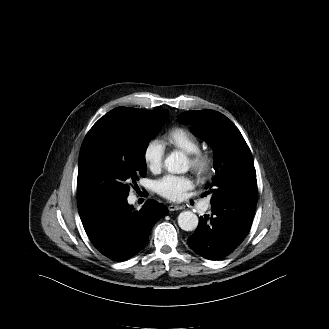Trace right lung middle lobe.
<instances>
[{
	"mask_svg": "<svg viewBox=\"0 0 329 329\" xmlns=\"http://www.w3.org/2000/svg\"><path fill=\"white\" fill-rule=\"evenodd\" d=\"M167 116V110H157L144 118L130 107H119L94 124L79 155L80 204L101 194L128 196L130 186L146 175V148Z\"/></svg>",
	"mask_w": 329,
	"mask_h": 329,
	"instance_id": "dd1d6c3e",
	"label": "right lung middle lobe"
}]
</instances>
